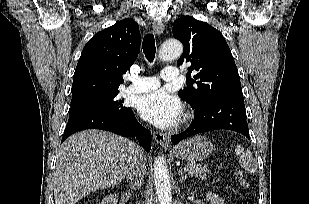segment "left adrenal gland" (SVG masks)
Returning <instances> with one entry per match:
<instances>
[{"instance_id": "left-adrenal-gland-1", "label": "left adrenal gland", "mask_w": 309, "mask_h": 204, "mask_svg": "<svg viewBox=\"0 0 309 204\" xmlns=\"http://www.w3.org/2000/svg\"><path fill=\"white\" fill-rule=\"evenodd\" d=\"M178 174L180 175V183L184 182L185 179L188 178V176L184 174V172H183L182 169H179V170H178Z\"/></svg>"}]
</instances>
